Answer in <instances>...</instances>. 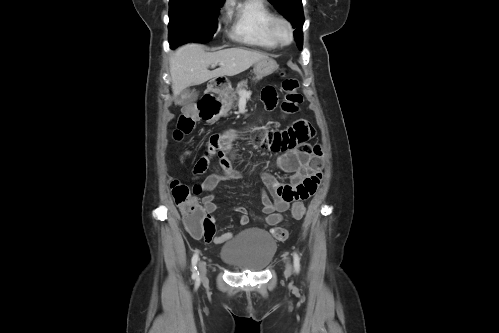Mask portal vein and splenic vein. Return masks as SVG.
I'll return each mask as SVG.
<instances>
[{"instance_id": "obj_1", "label": "portal vein and splenic vein", "mask_w": 499, "mask_h": 333, "mask_svg": "<svg viewBox=\"0 0 499 333\" xmlns=\"http://www.w3.org/2000/svg\"><path fill=\"white\" fill-rule=\"evenodd\" d=\"M217 65H218V63H213V64H212V67H216ZM219 65H223V64H219ZM239 94H240V97H242V98H247V97H249V96H250V94H251V93H250V92H247V91H240V93H239Z\"/></svg>"}]
</instances>
